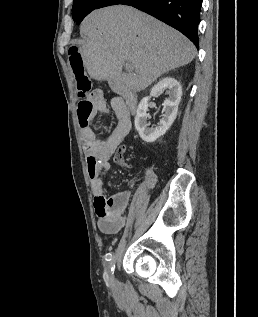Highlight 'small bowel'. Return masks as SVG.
I'll list each match as a JSON object with an SVG mask.
<instances>
[{
	"mask_svg": "<svg viewBox=\"0 0 258 317\" xmlns=\"http://www.w3.org/2000/svg\"><path fill=\"white\" fill-rule=\"evenodd\" d=\"M108 112L114 113L118 122L107 140L99 141L90 128V122L96 114ZM131 116V105L124 98L114 97L110 105H107L100 90H94L89 98L81 100L77 105V117L86 153L97 225L107 234L117 233L124 227L127 220L125 212L132 198L131 191H122L107 198L103 186V177L110 168V159L131 130ZM145 179L149 189H152L157 182V176L150 168L145 171ZM133 186L135 187V183Z\"/></svg>",
	"mask_w": 258,
	"mask_h": 317,
	"instance_id": "obj_1",
	"label": "small bowel"
}]
</instances>
